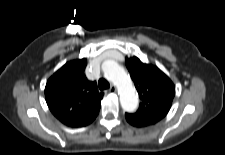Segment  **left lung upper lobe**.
<instances>
[{"label":"left lung upper lobe","mask_w":225,"mask_h":155,"mask_svg":"<svg viewBox=\"0 0 225 155\" xmlns=\"http://www.w3.org/2000/svg\"><path fill=\"white\" fill-rule=\"evenodd\" d=\"M126 66L141 99L136 113L125 114L127 121L136 127L159 122L171 108L174 84L158 67L144 64L136 56L126 58Z\"/></svg>","instance_id":"1"}]
</instances>
